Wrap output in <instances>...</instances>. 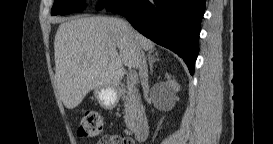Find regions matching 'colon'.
<instances>
[{"label":"colon","mask_w":273,"mask_h":144,"mask_svg":"<svg viewBox=\"0 0 273 144\" xmlns=\"http://www.w3.org/2000/svg\"><path fill=\"white\" fill-rule=\"evenodd\" d=\"M103 133V120L93 110L86 111L78 125V135L82 138H95Z\"/></svg>","instance_id":"obj_1"}]
</instances>
